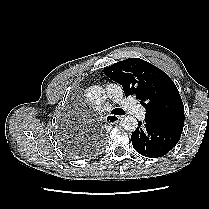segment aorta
<instances>
[{
  "label": "aorta",
  "mask_w": 209,
  "mask_h": 209,
  "mask_svg": "<svg viewBox=\"0 0 209 209\" xmlns=\"http://www.w3.org/2000/svg\"><path fill=\"white\" fill-rule=\"evenodd\" d=\"M87 101L94 105L104 103L106 99L105 90L99 85H93L86 90ZM137 120L132 116H124L120 121V126L126 131H135L137 128Z\"/></svg>",
  "instance_id": "aorta-1"
}]
</instances>
